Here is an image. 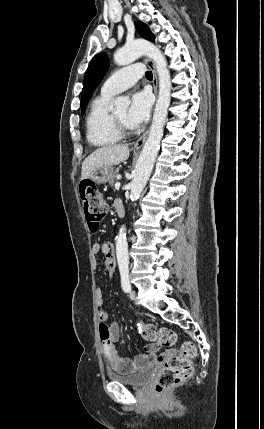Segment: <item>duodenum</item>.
Here are the masks:
<instances>
[{"label":"duodenum","mask_w":264,"mask_h":429,"mask_svg":"<svg viewBox=\"0 0 264 429\" xmlns=\"http://www.w3.org/2000/svg\"><path fill=\"white\" fill-rule=\"evenodd\" d=\"M115 209H116L117 215H118L119 217H123V216L125 215V208H124V206H123V204H122V203H118V204L115 206ZM113 259H114V261H115V254L113 255Z\"/></svg>","instance_id":"duodenum-1"}]
</instances>
